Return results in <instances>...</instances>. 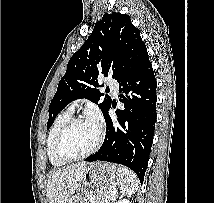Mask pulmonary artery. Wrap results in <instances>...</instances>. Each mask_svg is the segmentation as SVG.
<instances>
[{"label":"pulmonary artery","mask_w":214,"mask_h":203,"mask_svg":"<svg viewBox=\"0 0 214 203\" xmlns=\"http://www.w3.org/2000/svg\"><path fill=\"white\" fill-rule=\"evenodd\" d=\"M106 84L108 85V87L113 91L114 94L118 93V89H119V84L117 83L116 80L114 79H108L106 81ZM77 105L76 102L71 103V105L69 106L70 108L74 109V107Z\"/></svg>","instance_id":"obj_1"}]
</instances>
